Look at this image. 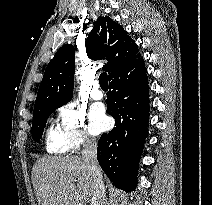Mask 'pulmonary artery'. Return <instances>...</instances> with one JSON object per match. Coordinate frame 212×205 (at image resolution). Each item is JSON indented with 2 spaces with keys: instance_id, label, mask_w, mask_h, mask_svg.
Here are the masks:
<instances>
[{
  "instance_id": "e3ab8cb5",
  "label": "pulmonary artery",
  "mask_w": 212,
  "mask_h": 205,
  "mask_svg": "<svg viewBox=\"0 0 212 205\" xmlns=\"http://www.w3.org/2000/svg\"><path fill=\"white\" fill-rule=\"evenodd\" d=\"M90 96L95 100H100L104 96L102 90L100 89V84L97 80L94 81L93 84H92Z\"/></svg>"
}]
</instances>
